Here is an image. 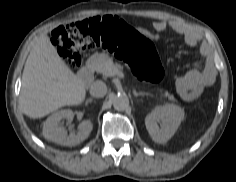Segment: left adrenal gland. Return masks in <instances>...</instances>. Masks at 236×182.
Here are the masks:
<instances>
[{
  "label": "left adrenal gland",
  "mask_w": 236,
  "mask_h": 182,
  "mask_svg": "<svg viewBox=\"0 0 236 182\" xmlns=\"http://www.w3.org/2000/svg\"><path fill=\"white\" fill-rule=\"evenodd\" d=\"M133 94H134L135 97L150 95L149 93H145V92H137L135 89L133 90Z\"/></svg>",
  "instance_id": "1"
}]
</instances>
